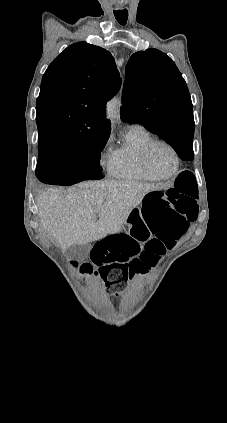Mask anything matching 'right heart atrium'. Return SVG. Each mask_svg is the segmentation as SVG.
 Returning a JSON list of instances; mask_svg holds the SVG:
<instances>
[{
  "label": "right heart atrium",
  "mask_w": 227,
  "mask_h": 423,
  "mask_svg": "<svg viewBox=\"0 0 227 423\" xmlns=\"http://www.w3.org/2000/svg\"><path fill=\"white\" fill-rule=\"evenodd\" d=\"M111 145L110 141L107 140L101 150L100 157H99V164L102 168L110 169L111 165Z\"/></svg>",
  "instance_id": "right-heart-atrium-1"
}]
</instances>
